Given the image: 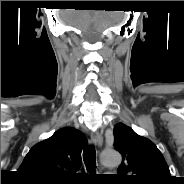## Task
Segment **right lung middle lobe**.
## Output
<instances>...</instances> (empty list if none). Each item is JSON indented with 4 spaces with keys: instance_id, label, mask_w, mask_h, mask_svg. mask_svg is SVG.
<instances>
[{
    "instance_id": "obj_1",
    "label": "right lung middle lobe",
    "mask_w": 184,
    "mask_h": 184,
    "mask_svg": "<svg viewBox=\"0 0 184 184\" xmlns=\"http://www.w3.org/2000/svg\"><path fill=\"white\" fill-rule=\"evenodd\" d=\"M32 183H36V184H46V183H43V182H32Z\"/></svg>"
}]
</instances>
